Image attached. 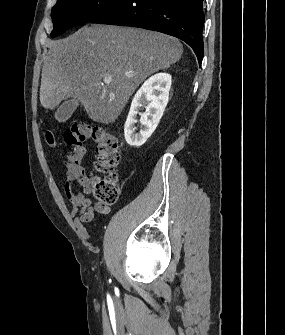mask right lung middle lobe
Returning a JSON list of instances; mask_svg holds the SVG:
<instances>
[{
  "instance_id": "dd1d6c3e",
  "label": "right lung middle lobe",
  "mask_w": 285,
  "mask_h": 335,
  "mask_svg": "<svg viewBox=\"0 0 285 335\" xmlns=\"http://www.w3.org/2000/svg\"><path fill=\"white\" fill-rule=\"evenodd\" d=\"M119 0H57L52 9L54 29L52 37L69 28L83 24L112 7Z\"/></svg>"
}]
</instances>
